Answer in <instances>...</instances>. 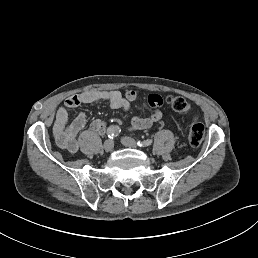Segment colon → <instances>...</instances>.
<instances>
[{
  "instance_id": "obj_1",
  "label": "colon",
  "mask_w": 258,
  "mask_h": 258,
  "mask_svg": "<svg viewBox=\"0 0 258 258\" xmlns=\"http://www.w3.org/2000/svg\"><path fill=\"white\" fill-rule=\"evenodd\" d=\"M167 103L172 107V109L178 113H184L188 111V104L186 101L177 96H168L166 98ZM205 135V128L202 124L196 123L189 127L188 129V141L191 146H199Z\"/></svg>"
}]
</instances>
